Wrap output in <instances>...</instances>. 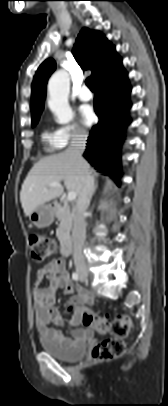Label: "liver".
<instances>
[{"label": "liver", "mask_w": 168, "mask_h": 406, "mask_svg": "<svg viewBox=\"0 0 168 406\" xmlns=\"http://www.w3.org/2000/svg\"><path fill=\"white\" fill-rule=\"evenodd\" d=\"M86 164L90 169L89 164ZM61 181H64L69 192L79 195L82 186L81 167L67 150L44 157L31 168L20 192L24 214L30 216L38 206L61 196L63 188L48 187L52 182Z\"/></svg>", "instance_id": "obj_1"}]
</instances>
